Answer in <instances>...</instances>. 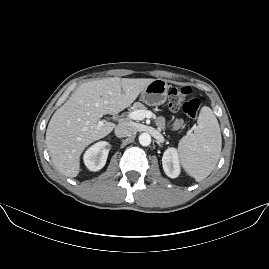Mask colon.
<instances>
[{"label": "colon", "instance_id": "5ec220e1", "mask_svg": "<svg viewBox=\"0 0 269 269\" xmlns=\"http://www.w3.org/2000/svg\"><path fill=\"white\" fill-rule=\"evenodd\" d=\"M168 107L172 111L183 110L191 119H196L199 115L201 100L191 97L189 87H173L168 92Z\"/></svg>", "mask_w": 269, "mask_h": 269}]
</instances>
